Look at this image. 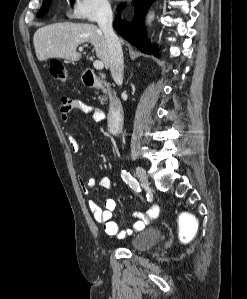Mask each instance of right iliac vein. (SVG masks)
Segmentation results:
<instances>
[{"instance_id":"obj_1","label":"right iliac vein","mask_w":247,"mask_h":299,"mask_svg":"<svg viewBox=\"0 0 247 299\" xmlns=\"http://www.w3.org/2000/svg\"><path fill=\"white\" fill-rule=\"evenodd\" d=\"M136 175H137L139 181L141 182V184L145 188H148L150 183H149L148 176H147L145 170L142 167L137 166L136 167Z\"/></svg>"}]
</instances>
